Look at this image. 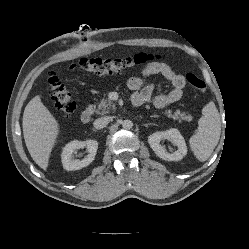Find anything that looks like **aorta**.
Instances as JSON below:
<instances>
[{
	"label": "aorta",
	"mask_w": 249,
	"mask_h": 249,
	"mask_svg": "<svg viewBox=\"0 0 249 249\" xmlns=\"http://www.w3.org/2000/svg\"><path fill=\"white\" fill-rule=\"evenodd\" d=\"M122 127L124 129H131L133 127V122L131 120L126 119L122 122Z\"/></svg>",
	"instance_id": "1"
}]
</instances>
